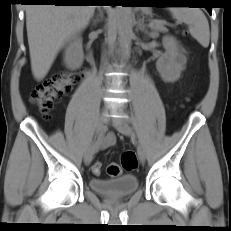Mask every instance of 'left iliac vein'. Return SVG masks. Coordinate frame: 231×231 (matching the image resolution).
Listing matches in <instances>:
<instances>
[{
    "instance_id": "1",
    "label": "left iliac vein",
    "mask_w": 231,
    "mask_h": 231,
    "mask_svg": "<svg viewBox=\"0 0 231 231\" xmlns=\"http://www.w3.org/2000/svg\"><path fill=\"white\" fill-rule=\"evenodd\" d=\"M114 125L117 131L125 136H131L133 134V129L131 126L122 119L115 120ZM137 152L141 163H144L146 159V153L144 147L141 144H138Z\"/></svg>"
}]
</instances>
